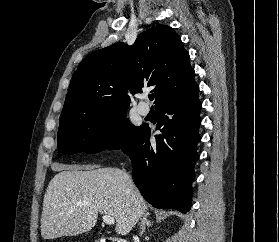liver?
<instances>
[{"instance_id": "1", "label": "liver", "mask_w": 279, "mask_h": 242, "mask_svg": "<svg viewBox=\"0 0 279 242\" xmlns=\"http://www.w3.org/2000/svg\"><path fill=\"white\" fill-rule=\"evenodd\" d=\"M148 210L130 176L117 168L60 166L43 199L41 236L55 239L90 231L98 213L116 220L125 236Z\"/></svg>"}]
</instances>
